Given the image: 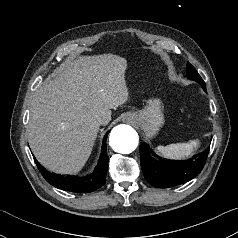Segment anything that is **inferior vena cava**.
I'll use <instances>...</instances> for the list:
<instances>
[{
	"mask_svg": "<svg viewBox=\"0 0 238 238\" xmlns=\"http://www.w3.org/2000/svg\"><path fill=\"white\" fill-rule=\"evenodd\" d=\"M97 124H98V125H105V124H107V121L104 120V119H99V120L97 121Z\"/></svg>",
	"mask_w": 238,
	"mask_h": 238,
	"instance_id": "1",
	"label": "inferior vena cava"
}]
</instances>
